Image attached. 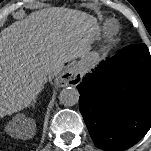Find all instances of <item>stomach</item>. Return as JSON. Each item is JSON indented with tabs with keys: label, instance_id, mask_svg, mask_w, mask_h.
<instances>
[{
	"label": "stomach",
	"instance_id": "1",
	"mask_svg": "<svg viewBox=\"0 0 151 151\" xmlns=\"http://www.w3.org/2000/svg\"><path fill=\"white\" fill-rule=\"evenodd\" d=\"M100 59L101 57L97 52H90L88 54V57L80 62V66L82 68L93 67L96 63L100 61Z\"/></svg>",
	"mask_w": 151,
	"mask_h": 151
}]
</instances>
